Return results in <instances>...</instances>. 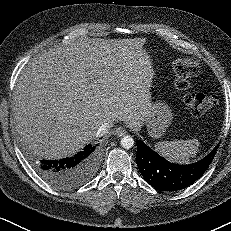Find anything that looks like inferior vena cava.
Returning a JSON list of instances; mask_svg holds the SVG:
<instances>
[{
    "mask_svg": "<svg viewBox=\"0 0 231 231\" xmlns=\"http://www.w3.org/2000/svg\"><path fill=\"white\" fill-rule=\"evenodd\" d=\"M112 127V123L111 122H106V123H103L97 130V136H103L105 135L108 130H110V128Z\"/></svg>",
    "mask_w": 231,
    "mask_h": 231,
    "instance_id": "inferior-vena-cava-1",
    "label": "inferior vena cava"
}]
</instances>
